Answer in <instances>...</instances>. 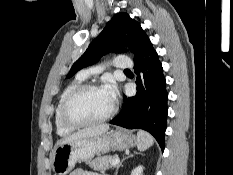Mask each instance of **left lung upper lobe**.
I'll use <instances>...</instances> for the list:
<instances>
[{
  "instance_id": "obj_1",
  "label": "left lung upper lobe",
  "mask_w": 233,
  "mask_h": 175,
  "mask_svg": "<svg viewBox=\"0 0 233 175\" xmlns=\"http://www.w3.org/2000/svg\"><path fill=\"white\" fill-rule=\"evenodd\" d=\"M151 44L139 22L130 18L127 13H118L73 64L67 78L72 77L78 70L94 64L107 52L113 50L123 52L122 45H127L133 50L136 60Z\"/></svg>"
}]
</instances>
